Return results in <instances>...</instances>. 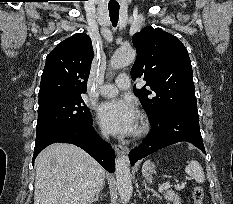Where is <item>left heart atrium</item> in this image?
<instances>
[{
	"label": "left heart atrium",
	"instance_id": "left-heart-atrium-1",
	"mask_svg": "<svg viewBox=\"0 0 233 204\" xmlns=\"http://www.w3.org/2000/svg\"><path fill=\"white\" fill-rule=\"evenodd\" d=\"M97 116L104 130L118 136L132 134L138 118L134 104L122 99L101 103L97 109Z\"/></svg>",
	"mask_w": 233,
	"mask_h": 204
}]
</instances>
